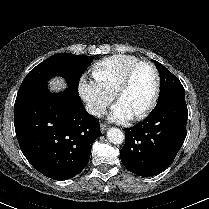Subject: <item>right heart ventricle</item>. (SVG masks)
<instances>
[{"label": "right heart ventricle", "mask_w": 209, "mask_h": 209, "mask_svg": "<svg viewBox=\"0 0 209 209\" xmlns=\"http://www.w3.org/2000/svg\"><path fill=\"white\" fill-rule=\"evenodd\" d=\"M137 61H139V58L132 55L110 56L93 66L92 75L106 89L115 93L126 71Z\"/></svg>", "instance_id": "e07e8e85"}]
</instances>
